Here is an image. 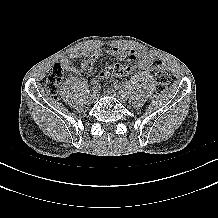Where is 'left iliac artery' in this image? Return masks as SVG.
<instances>
[{
    "label": "left iliac artery",
    "mask_w": 218,
    "mask_h": 218,
    "mask_svg": "<svg viewBox=\"0 0 218 218\" xmlns=\"http://www.w3.org/2000/svg\"><path fill=\"white\" fill-rule=\"evenodd\" d=\"M114 87L120 89V93H125V88H121V86L118 83L114 82Z\"/></svg>",
    "instance_id": "1"
}]
</instances>
